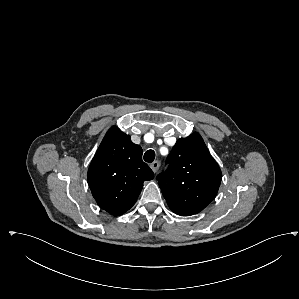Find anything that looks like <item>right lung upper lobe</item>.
<instances>
[{"label": "right lung upper lobe", "instance_id": "cb5924a9", "mask_svg": "<svg viewBox=\"0 0 299 299\" xmlns=\"http://www.w3.org/2000/svg\"><path fill=\"white\" fill-rule=\"evenodd\" d=\"M142 161V148L116 126L109 129L88 170V184L98 205L118 216L136 202L143 182L153 179Z\"/></svg>", "mask_w": 299, "mask_h": 299}]
</instances>
